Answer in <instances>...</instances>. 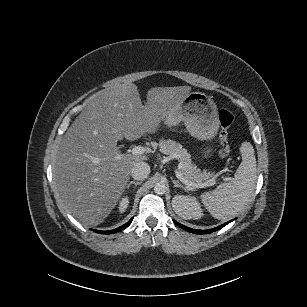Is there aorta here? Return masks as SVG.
I'll list each match as a JSON object with an SVG mask.
<instances>
[{
	"instance_id": "762f6f07",
	"label": "aorta",
	"mask_w": 307,
	"mask_h": 307,
	"mask_svg": "<svg viewBox=\"0 0 307 307\" xmlns=\"http://www.w3.org/2000/svg\"><path fill=\"white\" fill-rule=\"evenodd\" d=\"M166 190H167V187L162 182L156 183L155 186H154V192L156 194H164L166 192Z\"/></svg>"
}]
</instances>
